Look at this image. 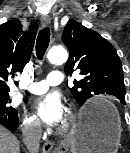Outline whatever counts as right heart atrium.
<instances>
[{
    "label": "right heart atrium",
    "instance_id": "1",
    "mask_svg": "<svg viewBox=\"0 0 130 153\" xmlns=\"http://www.w3.org/2000/svg\"><path fill=\"white\" fill-rule=\"evenodd\" d=\"M22 128L24 133L30 137H37L41 130V126L37 118L27 113L23 116Z\"/></svg>",
    "mask_w": 130,
    "mask_h": 153
}]
</instances>
